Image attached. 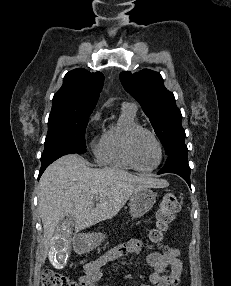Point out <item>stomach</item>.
I'll use <instances>...</instances> for the list:
<instances>
[{
    "label": "stomach",
    "mask_w": 231,
    "mask_h": 286,
    "mask_svg": "<svg viewBox=\"0 0 231 286\" xmlns=\"http://www.w3.org/2000/svg\"><path fill=\"white\" fill-rule=\"evenodd\" d=\"M156 202V194L150 189L145 188L135 192L129 201L130 214L132 218H140L152 209ZM105 235L101 233L88 234L78 241L76 249L86 253L96 248L103 240Z\"/></svg>",
    "instance_id": "obj_1"
}]
</instances>
